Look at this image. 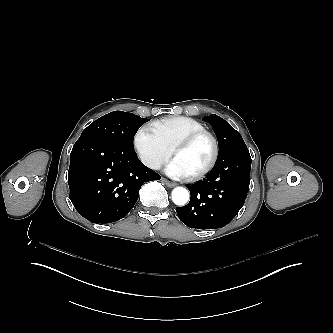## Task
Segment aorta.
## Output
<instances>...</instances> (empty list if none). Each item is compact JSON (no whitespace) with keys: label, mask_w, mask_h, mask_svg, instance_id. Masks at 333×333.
<instances>
[{"label":"aorta","mask_w":333,"mask_h":333,"mask_svg":"<svg viewBox=\"0 0 333 333\" xmlns=\"http://www.w3.org/2000/svg\"><path fill=\"white\" fill-rule=\"evenodd\" d=\"M189 192L183 187H176L172 191V201L177 206H184L189 201Z\"/></svg>","instance_id":"aorta-1"}]
</instances>
